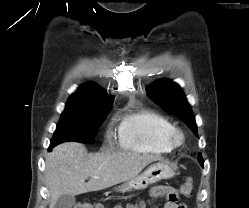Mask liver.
Segmentation results:
<instances>
[{
  "label": "liver",
  "instance_id": "obj_1",
  "mask_svg": "<svg viewBox=\"0 0 249 208\" xmlns=\"http://www.w3.org/2000/svg\"><path fill=\"white\" fill-rule=\"evenodd\" d=\"M157 160L161 158L149 154L109 151L88 154L81 143L59 144L45 160V181L51 195L49 208H54L64 194L75 196L129 181Z\"/></svg>",
  "mask_w": 249,
  "mask_h": 208
}]
</instances>
